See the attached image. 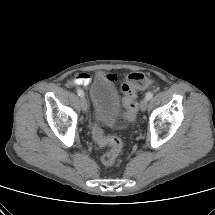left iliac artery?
I'll use <instances>...</instances> for the list:
<instances>
[{
    "mask_svg": "<svg viewBox=\"0 0 215 215\" xmlns=\"http://www.w3.org/2000/svg\"><path fill=\"white\" fill-rule=\"evenodd\" d=\"M152 97H153V93H152V92H148V93H146V95H145V98H146L147 100H150Z\"/></svg>",
    "mask_w": 215,
    "mask_h": 215,
    "instance_id": "obj_1",
    "label": "left iliac artery"
}]
</instances>
